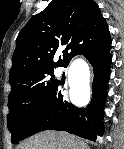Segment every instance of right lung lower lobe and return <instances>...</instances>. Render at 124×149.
<instances>
[{
	"label": "right lung lower lobe",
	"mask_w": 124,
	"mask_h": 149,
	"mask_svg": "<svg viewBox=\"0 0 124 149\" xmlns=\"http://www.w3.org/2000/svg\"><path fill=\"white\" fill-rule=\"evenodd\" d=\"M110 49L109 38L99 47L83 54L94 70L90 104L78 108L69 103L62 94L63 85L59 83L28 122L21 140L44 130L66 131L94 142L102 136L103 110L110 78Z\"/></svg>",
	"instance_id": "98d812e1"
}]
</instances>
